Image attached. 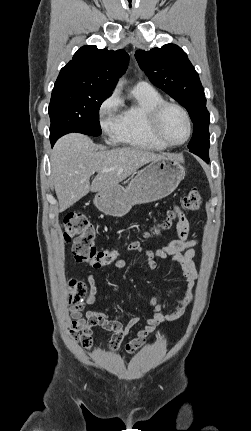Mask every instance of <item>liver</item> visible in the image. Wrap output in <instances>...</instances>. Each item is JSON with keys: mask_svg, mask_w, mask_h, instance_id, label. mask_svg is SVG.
Returning <instances> with one entry per match:
<instances>
[{"mask_svg": "<svg viewBox=\"0 0 251 431\" xmlns=\"http://www.w3.org/2000/svg\"><path fill=\"white\" fill-rule=\"evenodd\" d=\"M163 157L165 155L135 147L107 150L79 133L61 137L50 157L51 179L60 212L86 196L89 191L100 192L119 185L143 165ZM104 169L111 171L102 172ZM95 172L97 175L90 185V177Z\"/></svg>", "mask_w": 251, "mask_h": 431, "instance_id": "liver-1", "label": "liver"}]
</instances>
